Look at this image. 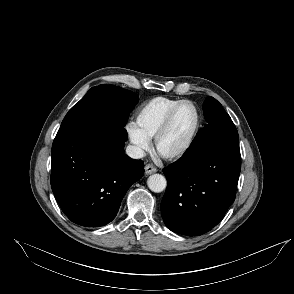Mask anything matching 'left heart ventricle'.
Returning <instances> with one entry per match:
<instances>
[{
    "label": "left heart ventricle",
    "mask_w": 294,
    "mask_h": 294,
    "mask_svg": "<svg viewBox=\"0 0 294 294\" xmlns=\"http://www.w3.org/2000/svg\"><path fill=\"white\" fill-rule=\"evenodd\" d=\"M196 118V111L191 104L182 105L162 138L159 151L162 154H169L182 148L195 127Z\"/></svg>",
    "instance_id": "b2bd125f"
}]
</instances>
